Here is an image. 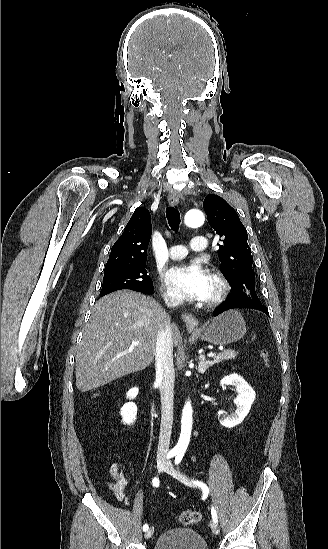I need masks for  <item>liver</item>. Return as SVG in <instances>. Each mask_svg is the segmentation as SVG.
Here are the masks:
<instances>
[{
    "label": "liver",
    "instance_id": "1",
    "mask_svg": "<svg viewBox=\"0 0 328 549\" xmlns=\"http://www.w3.org/2000/svg\"><path fill=\"white\" fill-rule=\"evenodd\" d=\"M165 327L176 347L179 329L155 299L127 289L99 299L75 357L78 391L87 393L149 367ZM132 341H138L137 347H131Z\"/></svg>",
    "mask_w": 328,
    "mask_h": 549
}]
</instances>
